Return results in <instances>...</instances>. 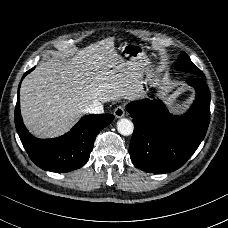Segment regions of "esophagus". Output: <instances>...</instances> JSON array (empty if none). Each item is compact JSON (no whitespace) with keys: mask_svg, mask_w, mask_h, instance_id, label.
Masks as SVG:
<instances>
[{"mask_svg":"<svg viewBox=\"0 0 228 228\" xmlns=\"http://www.w3.org/2000/svg\"><path fill=\"white\" fill-rule=\"evenodd\" d=\"M125 110L123 106H118L115 111L114 115L116 118H122L124 116Z\"/></svg>","mask_w":228,"mask_h":228,"instance_id":"1","label":"esophagus"}]
</instances>
